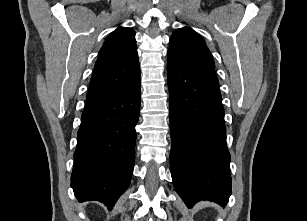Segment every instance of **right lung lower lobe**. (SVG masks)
I'll list each match as a JSON object with an SVG mask.
<instances>
[{
  "instance_id": "obj_1",
  "label": "right lung lower lobe",
  "mask_w": 307,
  "mask_h": 221,
  "mask_svg": "<svg viewBox=\"0 0 307 221\" xmlns=\"http://www.w3.org/2000/svg\"><path fill=\"white\" fill-rule=\"evenodd\" d=\"M140 86L138 79L124 90L86 101L71 176L79 202L97 200L110 210L127 189L134 167Z\"/></svg>"
}]
</instances>
